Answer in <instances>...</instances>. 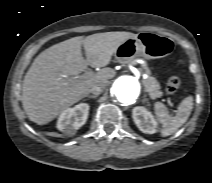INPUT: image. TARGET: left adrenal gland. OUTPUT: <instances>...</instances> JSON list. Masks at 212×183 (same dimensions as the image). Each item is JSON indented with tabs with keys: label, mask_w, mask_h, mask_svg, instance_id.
Wrapping results in <instances>:
<instances>
[{
	"label": "left adrenal gland",
	"mask_w": 212,
	"mask_h": 183,
	"mask_svg": "<svg viewBox=\"0 0 212 183\" xmlns=\"http://www.w3.org/2000/svg\"><path fill=\"white\" fill-rule=\"evenodd\" d=\"M143 101H144V102H148V99L146 98L145 95H144Z\"/></svg>",
	"instance_id": "obj_1"
}]
</instances>
